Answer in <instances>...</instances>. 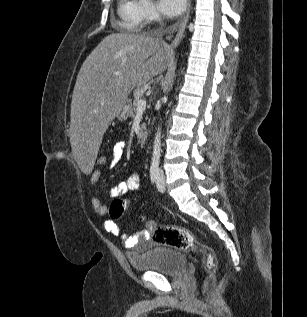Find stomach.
<instances>
[{"mask_svg":"<svg viewBox=\"0 0 307 317\" xmlns=\"http://www.w3.org/2000/svg\"><path fill=\"white\" fill-rule=\"evenodd\" d=\"M130 101L127 99L118 109L116 112V118L119 121H125L129 116V109H130Z\"/></svg>","mask_w":307,"mask_h":317,"instance_id":"obj_1","label":"stomach"}]
</instances>
